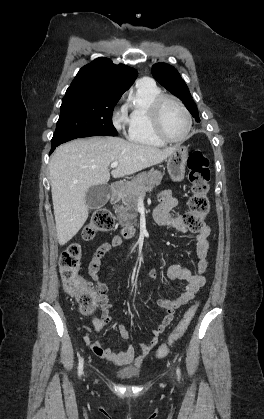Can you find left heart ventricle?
Masks as SVG:
<instances>
[{"instance_id": "1", "label": "left heart ventricle", "mask_w": 264, "mask_h": 419, "mask_svg": "<svg viewBox=\"0 0 264 419\" xmlns=\"http://www.w3.org/2000/svg\"><path fill=\"white\" fill-rule=\"evenodd\" d=\"M161 119L163 130L169 137L183 136L187 126L186 117L174 102L166 101L164 103Z\"/></svg>"}]
</instances>
